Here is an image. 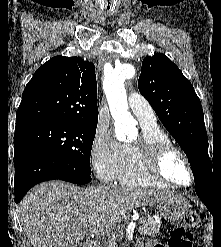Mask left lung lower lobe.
Returning a JSON list of instances; mask_svg holds the SVG:
<instances>
[{
  "instance_id": "1",
  "label": "left lung lower lobe",
  "mask_w": 221,
  "mask_h": 247,
  "mask_svg": "<svg viewBox=\"0 0 221 247\" xmlns=\"http://www.w3.org/2000/svg\"><path fill=\"white\" fill-rule=\"evenodd\" d=\"M195 191L211 212L215 200L221 197V182L217 185L214 180H211L206 183L196 184Z\"/></svg>"
}]
</instances>
